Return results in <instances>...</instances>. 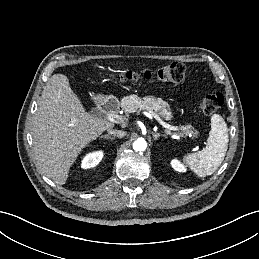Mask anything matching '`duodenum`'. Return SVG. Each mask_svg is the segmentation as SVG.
Masks as SVG:
<instances>
[{
  "label": "duodenum",
  "instance_id": "1",
  "mask_svg": "<svg viewBox=\"0 0 259 259\" xmlns=\"http://www.w3.org/2000/svg\"><path fill=\"white\" fill-rule=\"evenodd\" d=\"M98 109L104 113L114 112L118 106V102L113 97L102 99L97 104Z\"/></svg>",
  "mask_w": 259,
  "mask_h": 259
}]
</instances>
